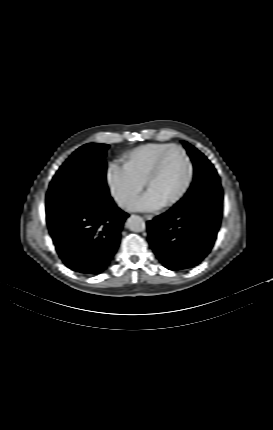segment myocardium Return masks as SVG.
Returning a JSON list of instances; mask_svg holds the SVG:
<instances>
[{
	"label": "myocardium",
	"instance_id": "1",
	"mask_svg": "<svg viewBox=\"0 0 273 430\" xmlns=\"http://www.w3.org/2000/svg\"><path fill=\"white\" fill-rule=\"evenodd\" d=\"M173 150H177V151L181 152L182 155L184 156L187 167H188V175H187V179H186L184 186L178 192V194L176 196H174L170 201H168L167 203H165L163 205L164 207H167V208L176 205L180 200H182V198L186 195V193L190 189L192 181H193V177H194L193 164H192V161H191L188 153L186 152V150L179 145H170L169 147L164 149L160 153L158 158L156 159L152 169L150 170V172H149V174L145 180V187L147 189H149L151 182L159 175V173L162 169V165H163V162H164L166 155Z\"/></svg>",
	"mask_w": 273,
	"mask_h": 430
}]
</instances>
